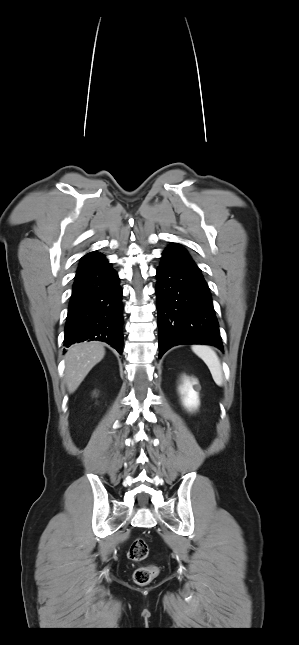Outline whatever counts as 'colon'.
Returning <instances> with one entry per match:
<instances>
[{
	"mask_svg": "<svg viewBox=\"0 0 299 645\" xmlns=\"http://www.w3.org/2000/svg\"><path fill=\"white\" fill-rule=\"evenodd\" d=\"M148 545L143 538H135L130 545L128 557L134 562H141L148 556ZM158 567L147 565L137 568L133 573V580L137 585L149 584L158 574Z\"/></svg>",
	"mask_w": 299,
	"mask_h": 645,
	"instance_id": "5ec220e1",
	"label": "colon"
}]
</instances>
